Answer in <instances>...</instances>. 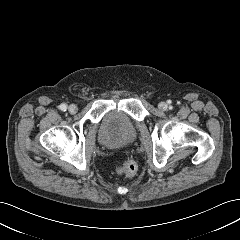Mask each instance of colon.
<instances>
[{
  "label": "colon",
  "instance_id": "1",
  "mask_svg": "<svg viewBox=\"0 0 240 240\" xmlns=\"http://www.w3.org/2000/svg\"><path fill=\"white\" fill-rule=\"evenodd\" d=\"M137 172V164L135 161L131 159H126L122 161L117 167H116V173L119 176L130 178L133 177Z\"/></svg>",
  "mask_w": 240,
  "mask_h": 240
}]
</instances>
